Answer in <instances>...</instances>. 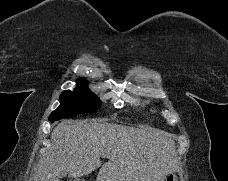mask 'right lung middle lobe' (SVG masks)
Segmentation results:
<instances>
[{"mask_svg":"<svg viewBox=\"0 0 228 181\" xmlns=\"http://www.w3.org/2000/svg\"><path fill=\"white\" fill-rule=\"evenodd\" d=\"M101 106L100 99L86 85L77 86L73 91L67 90L60 95V106L51 113L49 121L82 113H95Z\"/></svg>","mask_w":228,"mask_h":181,"instance_id":"right-lung-middle-lobe-1","label":"right lung middle lobe"}]
</instances>
